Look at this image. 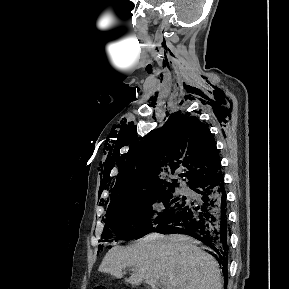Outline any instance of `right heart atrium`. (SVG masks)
<instances>
[{"label": "right heart atrium", "instance_id": "d8ad5b80", "mask_svg": "<svg viewBox=\"0 0 289 289\" xmlns=\"http://www.w3.org/2000/svg\"><path fill=\"white\" fill-rule=\"evenodd\" d=\"M150 209L153 215H159L163 212L164 205L162 201L155 200L151 203Z\"/></svg>", "mask_w": 289, "mask_h": 289}]
</instances>
